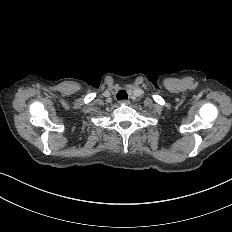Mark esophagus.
<instances>
[{
	"mask_svg": "<svg viewBox=\"0 0 232 232\" xmlns=\"http://www.w3.org/2000/svg\"><path fill=\"white\" fill-rule=\"evenodd\" d=\"M120 104H121V105H122V104H124V105H129L130 102H129L128 100H121V101H120Z\"/></svg>",
	"mask_w": 232,
	"mask_h": 232,
	"instance_id": "esophagus-1",
	"label": "esophagus"
}]
</instances>
